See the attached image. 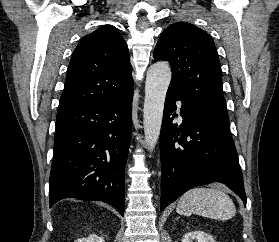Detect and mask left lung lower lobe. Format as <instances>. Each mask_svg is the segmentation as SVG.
<instances>
[{
    "instance_id": "obj_1",
    "label": "left lung lower lobe",
    "mask_w": 279,
    "mask_h": 242,
    "mask_svg": "<svg viewBox=\"0 0 279 242\" xmlns=\"http://www.w3.org/2000/svg\"><path fill=\"white\" fill-rule=\"evenodd\" d=\"M181 100L168 88L160 132L161 201L163 210L189 189L222 182L246 205L243 176L230 129L182 102L180 127L172 120Z\"/></svg>"
}]
</instances>
